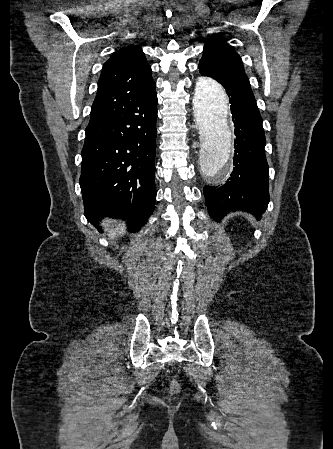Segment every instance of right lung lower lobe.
<instances>
[{"label": "right lung lower lobe", "mask_w": 333, "mask_h": 449, "mask_svg": "<svg viewBox=\"0 0 333 449\" xmlns=\"http://www.w3.org/2000/svg\"><path fill=\"white\" fill-rule=\"evenodd\" d=\"M157 94L153 88L124 108L91 120L85 129L80 187L84 215L144 226L155 207Z\"/></svg>", "instance_id": "obj_1"}]
</instances>
